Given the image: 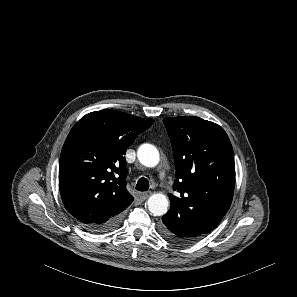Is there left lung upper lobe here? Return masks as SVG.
I'll list each match as a JSON object with an SVG mask.
<instances>
[{
	"mask_svg": "<svg viewBox=\"0 0 297 297\" xmlns=\"http://www.w3.org/2000/svg\"><path fill=\"white\" fill-rule=\"evenodd\" d=\"M175 158L170 209L191 241L212 231L228 211L235 187L231 142L219 125L193 116L164 118ZM172 209V210H171Z\"/></svg>",
	"mask_w": 297,
	"mask_h": 297,
	"instance_id": "obj_1",
	"label": "left lung upper lobe"
}]
</instances>
